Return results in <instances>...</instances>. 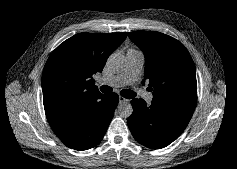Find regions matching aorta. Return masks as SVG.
I'll return each instance as SVG.
<instances>
[{"instance_id": "obj_1", "label": "aorta", "mask_w": 237, "mask_h": 169, "mask_svg": "<svg viewBox=\"0 0 237 169\" xmlns=\"http://www.w3.org/2000/svg\"><path fill=\"white\" fill-rule=\"evenodd\" d=\"M108 65L113 72L119 73L124 70L126 59L122 54L114 53L108 58ZM132 112V105L128 102H122L117 107V114L122 118H128Z\"/></svg>"}]
</instances>
